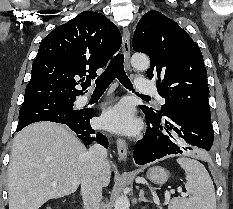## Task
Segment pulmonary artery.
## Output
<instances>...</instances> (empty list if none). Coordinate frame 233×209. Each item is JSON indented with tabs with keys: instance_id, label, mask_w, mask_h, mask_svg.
I'll return each mask as SVG.
<instances>
[{
	"instance_id": "pulmonary-artery-1",
	"label": "pulmonary artery",
	"mask_w": 233,
	"mask_h": 209,
	"mask_svg": "<svg viewBox=\"0 0 233 209\" xmlns=\"http://www.w3.org/2000/svg\"><path fill=\"white\" fill-rule=\"evenodd\" d=\"M136 90L142 94H152L155 95L158 102L163 104L164 99L157 94L156 87L154 83L148 79L137 78L136 79ZM89 99L88 96H84L82 101L87 102Z\"/></svg>"
}]
</instances>
